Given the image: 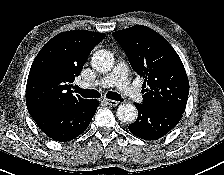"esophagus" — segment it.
I'll return each mask as SVG.
<instances>
[{"label": "esophagus", "instance_id": "obj_1", "mask_svg": "<svg viewBox=\"0 0 224 175\" xmlns=\"http://www.w3.org/2000/svg\"><path fill=\"white\" fill-rule=\"evenodd\" d=\"M105 102L111 107H116L118 105V101L111 100V99H105Z\"/></svg>", "mask_w": 224, "mask_h": 175}]
</instances>
